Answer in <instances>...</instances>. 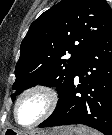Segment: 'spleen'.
<instances>
[{"mask_svg":"<svg viewBox=\"0 0 112 135\" xmlns=\"http://www.w3.org/2000/svg\"><path fill=\"white\" fill-rule=\"evenodd\" d=\"M84 135H101V134L97 131H86Z\"/></svg>","mask_w":112,"mask_h":135,"instance_id":"3e777b00","label":"spleen"}]
</instances>
